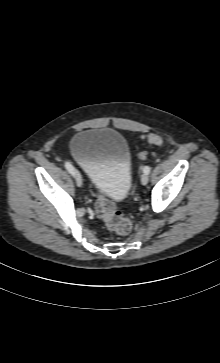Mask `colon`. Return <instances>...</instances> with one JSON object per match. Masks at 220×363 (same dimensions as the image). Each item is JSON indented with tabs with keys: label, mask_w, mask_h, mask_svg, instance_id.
Masks as SVG:
<instances>
[{
	"label": "colon",
	"mask_w": 220,
	"mask_h": 363,
	"mask_svg": "<svg viewBox=\"0 0 220 363\" xmlns=\"http://www.w3.org/2000/svg\"><path fill=\"white\" fill-rule=\"evenodd\" d=\"M146 138L152 144L158 145L162 142L161 138L154 134H149ZM138 157L144 159L145 155L139 153ZM95 211L110 230L118 234H127L131 231V220L116 210L115 206L107 198L100 195L96 197Z\"/></svg>",
	"instance_id": "1"
}]
</instances>
